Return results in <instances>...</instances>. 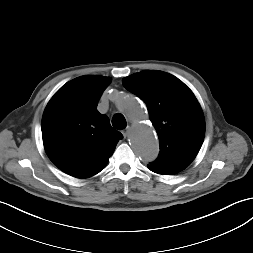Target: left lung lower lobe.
Returning <instances> with one entry per match:
<instances>
[{
	"label": "left lung lower lobe",
	"instance_id": "obj_1",
	"mask_svg": "<svg viewBox=\"0 0 253 253\" xmlns=\"http://www.w3.org/2000/svg\"><path fill=\"white\" fill-rule=\"evenodd\" d=\"M148 169H150L151 171L158 173V174H163V175H171V174H175L177 172H173V171H169V170H165V169H160L157 167H154L152 165H147Z\"/></svg>",
	"mask_w": 253,
	"mask_h": 253
}]
</instances>
